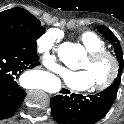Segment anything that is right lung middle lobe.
Here are the masks:
<instances>
[{
    "mask_svg": "<svg viewBox=\"0 0 124 124\" xmlns=\"http://www.w3.org/2000/svg\"><path fill=\"white\" fill-rule=\"evenodd\" d=\"M40 21L22 8H12L0 12V39L25 42L37 49L36 40L44 33Z\"/></svg>",
    "mask_w": 124,
    "mask_h": 124,
    "instance_id": "dd1d6c3e",
    "label": "right lung middle lobe"
}]
</instances>
